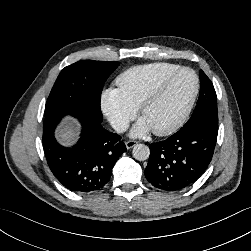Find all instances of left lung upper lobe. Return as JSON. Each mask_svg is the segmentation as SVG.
<instances>
[{
  "label": "left lung upper lobe",
  "instance_id": "1",
  "mask_svg": "<svg viewBox=\"0 0 251 251\" xmlns=\"http://www.w3.org/2000/svg\"><path fill=\"white\" fill-rule=\"evenodd\" d=\"M200 95L191 118L183 127L198 122H209L218 125L217 96L212 82L206 74L200 70Z\"/></svg>",
  "mask_w": 251,
  "mask_h": 251
}]
</instances>
